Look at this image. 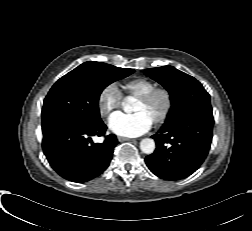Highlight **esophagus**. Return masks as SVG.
<instances>
[{
	"mask_svg": "<svg viewBox=\"0 0 252 231\" xmlns=\"http://www.w3.org/2000/svg\"><path fill=\"white\" fill-rule=\"evenodd\" d=\"M119 142H124V141H135V139L127 138V137H118Z\"/></svg>",
	"mask_w": 252,
	"mask_h": 231,
	"instance_id": "1",
	"label": "esophagus"
}]
</instances>
